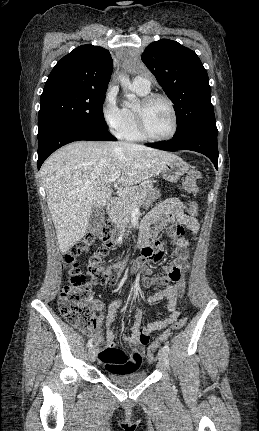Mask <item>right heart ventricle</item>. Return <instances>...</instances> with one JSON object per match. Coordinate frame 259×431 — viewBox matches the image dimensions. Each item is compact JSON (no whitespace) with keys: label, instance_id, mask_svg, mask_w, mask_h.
Returning a JSON list of instances; mask_svg holds the SVG:
<instances>
[{"label":"right heart ventricle","instance_id":"right-heart-ventricle-1","mask_svg":"<svg viewBox=\"0 0 259 431\" xmlns=\"http://www.w3.org/2000/svg\"><path fill=\"white\" fill-rule=\"evenodd\" d=\"M133 90L141 97L147 95L149 93V90H141L133 87ZM124 113H125V121L119 131L117 132V135L126 141L131 142H141L145 139L142 137V135L139 133L137 126H136V119H135V113L134 108L132 107H124Z\"/></svg>","mask_w":259,"mask_h":431}]
</instances>
